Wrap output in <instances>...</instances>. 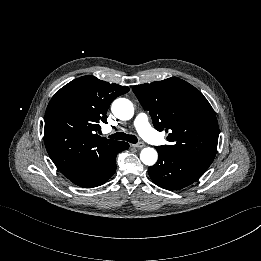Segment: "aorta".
Listing matches in <instances>:
<instances>
[{"label": "aorta", "mask_w": 261, "mask_h": 261, "mask_svg": "<svg viewBox=\"0 0 261 261\" xmlns=\"http://www.w3.org/2000/svg\"><path fill=\"white\" fill-rule=\"evenodd\" d=\"M112 113L120 120L127 121L134 116V107L130 100L125 98L116 99L112 104ZM158 154L154 148H143L140 153V159L145 165H154Z\"/></svg>", "instance_id": "1"}]
</instances>
